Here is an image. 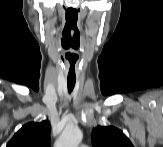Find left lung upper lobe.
Here are the masks:
<instances>
[{"mask_svg": "<svg viewBox=\"0 0 163 147\" xmlns=\"http://www.w3.org/2000/svg\"><path fill=\"white\" fill-rule=\"evenodd\" d=\"M92 143L94 147H133L126 135L113 126L94 128Z\"/></svg>", "mask_w": 163, "mask_h": 147, "instance_id": "left-lung-upper-lobe-1", "label": "left lung upper lobe"}]
</instances>
